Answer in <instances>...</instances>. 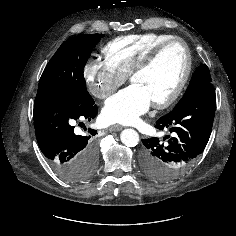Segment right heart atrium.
I'll return each instance as SVG.
<instances>
[{
	"label": "right heart atrium",
	"mask_w": 236,
	"mask_h": 236,
	"mask_svg": "<svg viewBox=\"0 0 236 236\" xmlns=\"http://www.w3.org/2000/svg\"><path fill=\"white\" fill-rule=\"evenodd\" d=\"M83 77L89 91L99 99H106L126 80L106 59L94 58L86 62Z\"/></svg>",
	"instance_id": "right-heart-atrium-1"
}]
</instances>
